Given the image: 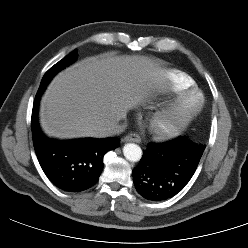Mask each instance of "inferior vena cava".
Returning <instances> with one entry per match:
<instances>
[{
    "mask_svg": "<svg viewBox=\"0 0 248 248\" xmlns=\"http://www.w3.org/2000/svg\"><path fill=\"white\" fill-rule=\"evenodd\" d=\"M126 127H127L126 123H122V124H120L119 122L114 123L106 129L105 135L112 136V135L120 134L121 132L125 130Z\"/></svg>",
    "mask_w": 248,
    "mask_h": 248,
    "instance_id": "602c4592",
    "label": "inferior vena cava"
}]
</instances>
